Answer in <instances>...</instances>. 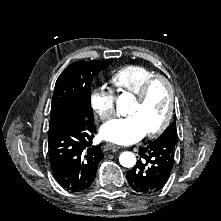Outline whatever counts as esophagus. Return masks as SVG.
<instances>
[{
	"label": "esophagus",
	"mask_w": 221,
	"mask_h": 221,
	"mask_svg": "<svg viewBox=\"0 0 221 221\" xmlns=\"http://www.w3.org/2000/svg\"><path fill=\"white\" fill-rule=\"evenodd\" d=\"M102 149L104 151H108V150H112V149H117L118 150V149H120V147L115 145V144H113V143L107 142V143L102 145Z\"/></svg>",
	"instance_id": "1"
}]
</instances>
